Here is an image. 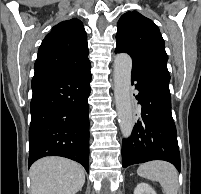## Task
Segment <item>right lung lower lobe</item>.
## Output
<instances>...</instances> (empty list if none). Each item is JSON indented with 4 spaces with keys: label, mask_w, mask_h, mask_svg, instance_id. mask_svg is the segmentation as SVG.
<instances>
[{
    "label": "right lung lower lobe",
    "mask_w": 201,
    "mask_h": 194,
    "mask_svg": "<svg viewBox=\"0 0 201 194\" xmlns=\"http://www.w3.org/2000/svg\"><path fill=\"white\" fill-rule=\"evenodd\" d=\"M90 68L73 75L33 77L29 166L45 156H62L88 172Z\"/></svg>",
    "instance_id": "right-lung-lower-lobe-1"
}]
</instances>
